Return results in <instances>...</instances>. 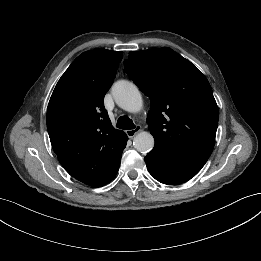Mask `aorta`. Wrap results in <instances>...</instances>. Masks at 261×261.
<instances>
[{
    "instance_id": "obj_1",
    "label": "aorta",
    "mask_w": 261,
    "mask_h": 261,
    "mask_svg": "<svg viewBox=\"0 0 261 261\" xmlns=\"http://www.w3.org/2000/svg\"><path fill=\"white\" fill-rule=\"evenodd\" d=\"M112 95L116 104L127 112L136 113L143 107L139 89L129 81L116 82L112 87ZM133 145L137 151L147 153L154 147V138L151 133L142 131L134 137Z\"/></svg>"
}]
</instances>
